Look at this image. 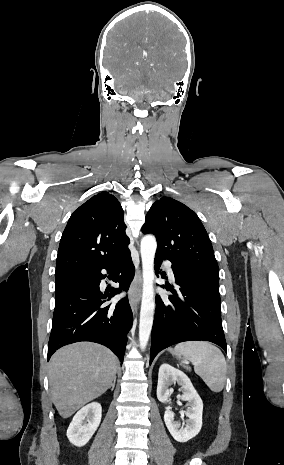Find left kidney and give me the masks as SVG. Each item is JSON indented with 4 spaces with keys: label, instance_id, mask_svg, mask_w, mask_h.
Returning <instances> with one entry per match:
<instances>
[{
    "label": "left kidney",
    "instance_id": "obj_1",
    "mask_svg": "<svg viewBox=\"0 0 284 465\" xmlns=\"http://www.w3.org/2000/svg\"><path fill=\"white\" fill-rule=\"evenodd\" d=\"M173 383L181 385L183 395H181L180 399L188 401L186 407H189V409L185 411L188 419L185 421V427H181L180 423L174 421V413L170 409H166L164 421L175 441H178V443H187V441L196 437L199 431H201L203 403L187 375L182 373V371H178V369H174L171 365H167V363H163L159 369L157 385L158 401H161V403H170L171 399L169 397L172 391H170L169 385H173Z\"/></svg>",
    "mask_w": 284,
    "mask_h": 465
}]
</instances>
